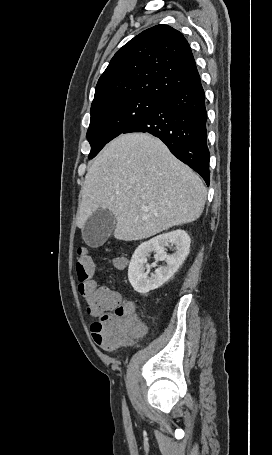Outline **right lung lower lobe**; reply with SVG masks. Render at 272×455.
<instances>
[{
    "label": "right lung lower lobe",
    "instance_id": "98d812e1",
    "mask_svg": "<svg viewBox=\"0 0 272 455\" xmlns=\"http://www.w3.org/2000/svg\"><path fill=\"white\" fill-rule=\"evenodd\" d=\"M206 120L205 93L199 78L166 97L161 106L123 133L148 132L160 138L209 185Z\"/></svg>",
    "mask_w": 272,
    "mask_h": 455
}]
</instances>
